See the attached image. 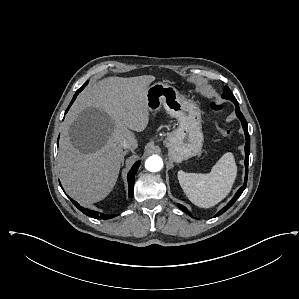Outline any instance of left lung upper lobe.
<instances>
[{
    "instance_id": "left-lung-upper-lobe-1",
    "label": "left lung upper lobe",
    "mask_w": 299,
    "mask_h": 299,
    "mask_svg": "<svg viewBox=\"0 0 299 299\" xmlns=\"http://www.w3.org/2000/svg\"><path fill=\"white\" fill-rule=\"evenodd\" d=\"M222 97L225 99H230L231 101L236 100L228 86H225Z\"/></svg>"
}]
</instances>
